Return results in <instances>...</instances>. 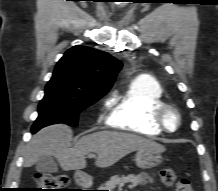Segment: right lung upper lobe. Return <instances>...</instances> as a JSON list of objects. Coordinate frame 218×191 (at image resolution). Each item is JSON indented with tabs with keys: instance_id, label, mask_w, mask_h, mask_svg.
<instances>
[{
	"instance_id": "right-lung-upper-lobe-1",
	"label": "right lung upper lobe",
	"mask_w": 218,
	"mask_h": 191,
	"mask_svg": "<svg viewBox=\"0 0 218 191\" xmlns=\"http://www.w3.org/2000/svg\"><path fill=\"white\" fill-rule=\"evenodd\" d=\"M121 67L108 53L77 45L58 61L53 76L84 93H107Z\"/></svg>"
}]
</instances>
